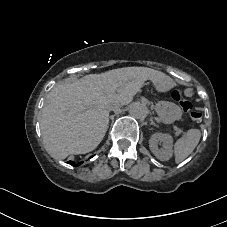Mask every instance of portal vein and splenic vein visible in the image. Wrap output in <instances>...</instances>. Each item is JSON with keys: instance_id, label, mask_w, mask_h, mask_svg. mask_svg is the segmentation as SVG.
I'll return each instance as SVG.
<instances>
[{"instance_id": "1", "label": "portal vein and splenic vein", "mask_w": 227, "mask_h": 227, "mask_svg": "<svg viewBox=\"0 0 227 227\" xmlns=\"http://www.w3.org/2000/svg\"><path fill=\"white\" fill-rule=\"evenodd\" d=\"M173 130L175 131V134H176L177 136H180L181 133L183 132L181 129H178L177 126H174V127H173Z\"/></svg>"}]
</instances>
